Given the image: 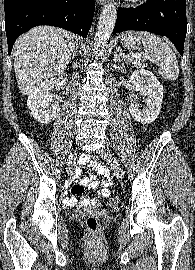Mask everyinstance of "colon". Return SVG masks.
Segmentation results:
<instances>
[{
    "instance_id": "5ec220e1",
    "label": "colon",
    "mask_w": 195,
    "mask_h": 270,
    "mask_svg": "<svg viewBox=\"0 0 195 270\" xmlns=\"http://www.w3.org/2000/svg\"><path fill=\"white\" fill-rule=\"evenodd\" d=\"M119 203V199L117 197H113L110 200L111 205H117ZM86 228L90 234H96L99 230V221L97 217L90 215L86 218Z\"/></svg>"
}]
</instances>
